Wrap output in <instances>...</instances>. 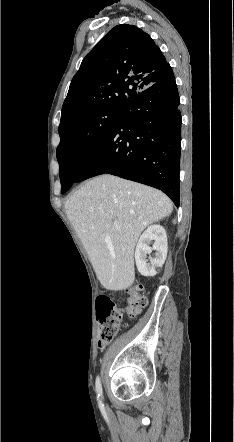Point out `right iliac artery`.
I'll use <instances>...</instances> for the list:
<instances>
[{
	"label": "right iliac artery",
	"mask_w": 234,
	"mask_h": 442,
	"mask_svg": "<svg viewBox=\"0 0 234 442\" xmlns=\"http://www.w3.org/2000/svg\"><path fill=\"white\" fill-rule=\"evenodd\" d=\"M96 393L98 395V398L101 397V395H102V386H101V381H100L99 377L96 378Z\"/></svg>",
	"instance_id": "obj_1"
}]
</instances>
